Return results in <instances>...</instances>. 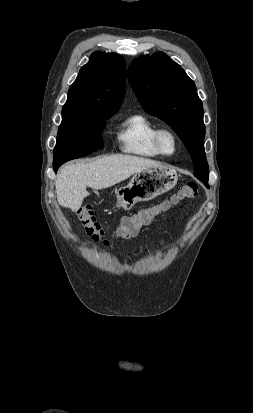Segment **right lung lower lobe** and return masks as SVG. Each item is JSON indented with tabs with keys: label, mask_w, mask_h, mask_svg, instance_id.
I'll return each mask as SVG.
<instances>
[{
	"label": "right lung lower lobe",
	"mask_w": 253,
	"mask_h": 413,
	"mask_svg": "<svg viewBox=\"0 0 253 413\" xmlns=\"http://www.w3.org/2000/svg\"><path fill=\"white\" fill-rule=\"evenodd\" d=\"M60 167V164L58 165H53L54 171L57 172L58 168Z\"/></svg>",
	"instance_id": "98d812e1"
}]
</instances>
